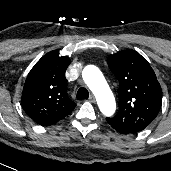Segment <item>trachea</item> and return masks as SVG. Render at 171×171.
<instances>
[{
	"label": "trachea",
	"instance_id": "trachea-1",
	"mask_svg": "<svg viewBox=\"0 0 171 171\" xmlns=\"http://www.w3.org/2000/svg\"><path fill=\"white\" fill-rule=\"evenodd\" d=\"M77 99H87L89 97V92L86 88L81 87L78 91H77V95H76Z\"/></svg>",
	"mask_w": 171,
	"mask_h": 171
}]
</instances>
